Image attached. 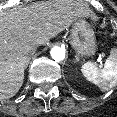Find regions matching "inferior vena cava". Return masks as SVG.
I'll use <instances>...</instances> for the list:
<instances>
[{"mask_svg":"<svg viewBox=\"0 0 117 117\" xmlns=\"http://www.w3.org/2000/svg\"><path fill=\"white\" fill-rule=\"evenodd\" d=\"M28 54L30 56H35L37 54V48L35 46H30L28 48Z\"/></svg>","mask_w":117,"mask_h":117,"instance_id":"obj_1","label":"inferior vena cava"}]
</instances>
